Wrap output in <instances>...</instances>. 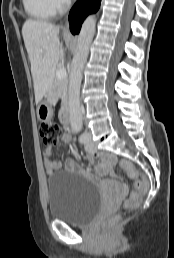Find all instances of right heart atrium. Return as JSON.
<instances>
[{
	"mask_svg": "<svg viewBox=\"0 0 174 258\" xmlns=\"http://www.w3.org/2000/svg\"><path fill=\"white\" fill-rule=\"evenodd\" d=\"M56 10H62L69 3V0H51Z\"/></svg>",
	"mask_w": 174,
	"mask_h": 258,
	"instance_id": "right-heart-atrium-1",
	"label": "right heart atrium"
}]
</instances>
